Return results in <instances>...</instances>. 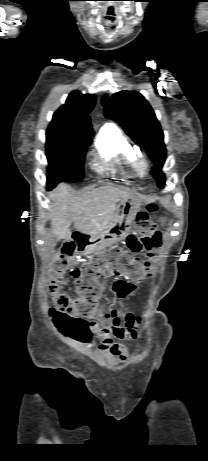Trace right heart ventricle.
<instances>
[{"label": "right heart ventricle", "mask_w": 208, "mask_h": 461, "mask_svg": "<svg viewBox=\"0 0 208 461\" xmlns=\"http://www.w3.org/2000/svg\"><path fill=\"white\" fill-rule=\"evenodd\" d=\"M97 165L102 174L132 164L134 149L126 136L114 125L102 128L96 143Z\"/></svg>", "instance_id": "obj_1"}]
</instances>
